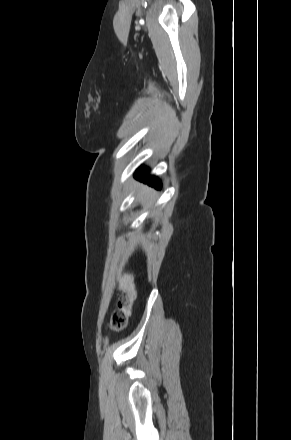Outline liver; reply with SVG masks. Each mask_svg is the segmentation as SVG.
<instances>
[{
    "mask_svg": "<svg viewBox=\"0 0 291 440\" xmlns=\"http://www.w3.org/2000/svg\"><path fill=\"white\" fill-rule=\"evenodd\" d=\"M133 275L130 274H123L118 275L117 280L119 282V289H127L129 286L133 283Z\"/></svg>",
    "mask_w": 291,
    "mask_h": 440,
    "instance_id": "liver-1",
    "label": "liver"
}]
</instances>
